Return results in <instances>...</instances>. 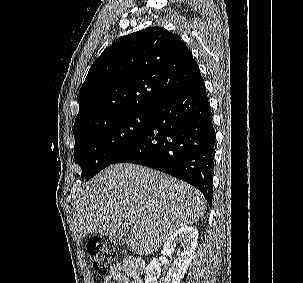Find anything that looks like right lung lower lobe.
<instances>
[{
    "label": "right lung lower lobe",
    "instance_id": "98d812e1",
    "mask_svg": "<svg viewBox=\"0 0 303 283\" xmlns=\"http://www.w3.org/2000/svg\"><path fill=\"white\" fill-rule=\"evenodd\" d=\"M215 135L203 78L152 110L142 136L114 162L160 170L197 189L211 204Z\"/></svg>",
    "mask_w": 303,
    "mask_h": 283
}]
</instances>
